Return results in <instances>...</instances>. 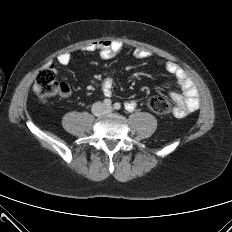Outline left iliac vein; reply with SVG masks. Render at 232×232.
Instances as JSON below:
<instances>
[{
    "label": "left iliac vein",
    "mask_w": 232,
    "mask_h": 232,
    "mask_svg": "<svg viewBox=\"0 0 232 232\" xmlns=\"http://www.w3.org/2000/svg\"><path fill=\"white\" fill-rule=\"evenodd\" d=\"M106 111H108V112L112 111V107L111 106L107 107Z\"/></svg>",
    "instance_id": "4c4485c4"
}]
</instances>
